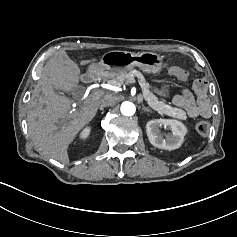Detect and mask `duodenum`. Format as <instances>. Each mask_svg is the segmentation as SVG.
Returning a JSON list of instances; mask_svg holds the SVG:
<instances>
[{
  "instance_id": "obj_1",
  "label": "duodenum",
  "mask_w": 237,
  "mask_h": 237,
  "mask_svg": "<svg viewBox=\"0 0 237 237\" xmlns=\"http://www.w3.org/2000/svg\"><path fill=\"white\" fill-rule=\"evenodd\" d=\"M98 76V70L95 68L89 69L83 76L85 82H90Z\"/></svg>"
}]
</instances>
